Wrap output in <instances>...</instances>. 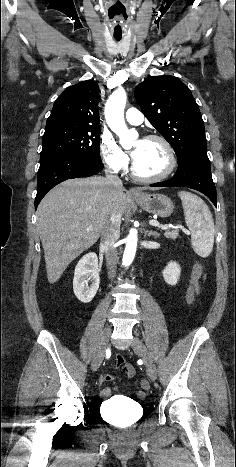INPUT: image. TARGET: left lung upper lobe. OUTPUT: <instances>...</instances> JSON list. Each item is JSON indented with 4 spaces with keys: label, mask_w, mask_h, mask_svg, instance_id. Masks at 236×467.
Segmentation results:
<instances>
[{
    "label": "left lung upper lobe",
    "mask_w": 236,
    "mask_h": 467,
    "mask_svg": "<svg viewBox=\"0 0 236 467\" xmlns=\"http://www.w3.org/2000/svg\"><path fill=\"white\" fill-rule=\"evenodd\" d=\"M134 94L144 115L174 149L178 163L191 152L206 149L199 107L180 79L152 76L137 85Z\"/></svg>",
    "instance_id": "obj_1"
}]
</instances>
